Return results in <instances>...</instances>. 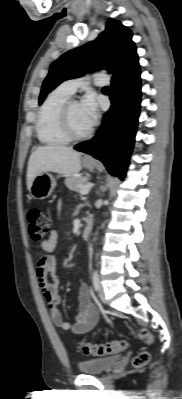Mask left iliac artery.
I'll list each match as a JSON object with an SVG mask.
<instances>
[{"label": "left iliac artery", "instance_id": "obj_1", "mask_svg": "<svg viewBox=\"0 0 182 399\" xmlns=\"http://www.w3.org/2000/svg\"><path fill=\"white\" fill-rule=\"evenodd\" d=\"M92 282H93L94 289L96 291H98L99 286H100V281H99V275H98L97 271H94L92 274Z\"/></svg>", "mask_w": 182, "mask_h": 399}]
</instances>
